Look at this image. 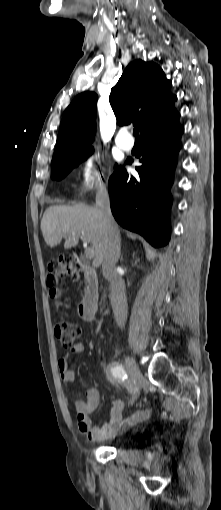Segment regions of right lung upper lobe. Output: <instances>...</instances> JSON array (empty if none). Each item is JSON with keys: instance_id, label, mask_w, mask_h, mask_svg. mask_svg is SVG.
<instances>
[{"instance_id": "cb5924a9", "label": "right lung upper lobe", "mask_w": 221, "mask_h": 510, "mask_svg": "<svg viewBox=\"0 0 221 510\" xmlns=\"http://www.w3.org/2000/svg\"><path fill=\"white\" fill-rule=\"evenodd\" d=\"M171 85L157 64L131 62L109 97L118 124L140 125L142 135L180 117L174 107L177 97L170 92ZM96 102L95 93L84 92L66 108L53 159L73 149L91 146L96 132Z\"/></svg>"}]
</instances>
